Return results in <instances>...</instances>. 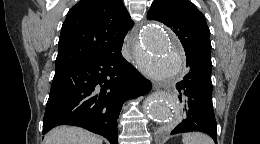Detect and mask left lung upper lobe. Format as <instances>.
<instances>
[{
	"label": "left lung upper lobe",
	"instance_id": "left-lung-upper-lobe-1",
	"mask_svg": "<svg viewBox=\"0 0 260 144\" xmlns=\"http://www.w3.org/2000/svg\"><path fill=\"white\" fill-rule=\"evenodd\" d=\"M147 19L162 22L173 30L184 47L187 61L212 67L210 31L204 15L190 1L155 0Z\"/></svg>",
	"mask_w": 260,
	"mask_h": 144
}]
</instances>
